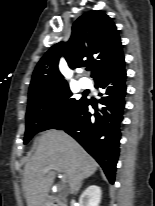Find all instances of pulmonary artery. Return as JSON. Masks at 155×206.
<instances>
[{"label": "pulmonary artery", "instance_id": "obj_1", "mask_svg": "<svg viewBox=\"0 0 155 206\" xmlns=\"http://www.w3.org/2000/svg\"><path fill=\"white\" fill-rule=\"evenodd\" d=\"M79 84L82 88H89L91 86L90 80L86 77L80 78Z\"/></svg>", "mask_w": 155, "mask_h": 206}]
</instances>
